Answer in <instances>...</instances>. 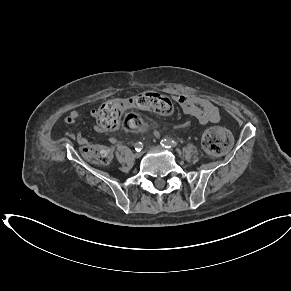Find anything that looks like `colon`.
Segmentation results:
<instances>
[{"label":"colon","mask_w":291,"mask_h":291,"mask_svg":"<svg viewBox=\"0 0 291 291\" xmlns=\"http://www.w3.org/2000/svg\"><path fill=\"white\" fill-rule=\"evenodd\" d=\"M154 112L169 115L172 112V103L164 95L145 91L124 99H113L104 103L97 111V130H116L122 120L132 128L141 125V119L137 114L128 113L130 110ZM232 137L228 129L223 126L209 128L202 137L205 150L212 155H219L229 149ZM83 155L91 161L99 164H108L112 154L109 148L86 144L82 148Z\"/></svg>","instance_id":"colon-1"}]
</instances>
